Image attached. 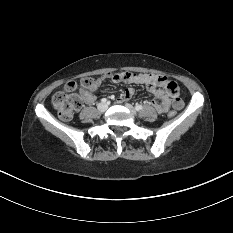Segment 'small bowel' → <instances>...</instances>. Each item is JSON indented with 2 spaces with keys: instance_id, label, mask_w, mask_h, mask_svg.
Listing matches in <instances>:
<instances>
[{
  "instance_id": "obj_1",
  "label": "small bowel",
  "mask_w": 233,
  "mask_h": 233,
  "mask_svg": "<svg viewBox=\"0 0 233 233\" xmlns=\"http://www.w3.org/2000/svg\"><path fill=\"white\" fill-rule=\"evenodd\" d=\"M106 79H110L114 83L122 82L126 84L135 83L145 85L147 90L155 96L156 100L153 101V106L160 114L167 113L171 107L180 109L183 105L181 99L178 97V86L174 81L169 80L165 76L156 74H135L129 72L106 73L97 78L90 89L97 90ZM133 95L134 89H126L118 99V102L130 99ZM84 101L87 104H93L95 102V96L91 91L84 92Z\"/></svg>"
}]
</instances>
